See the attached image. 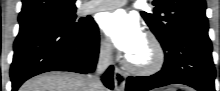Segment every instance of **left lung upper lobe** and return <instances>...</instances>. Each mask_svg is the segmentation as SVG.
Returning a JSON list of instances; mask_svg holds the SVG:
<instances>
[{"instance_id": "1", "label": "left lung upper lobe", "mask_w": 220, "mask_h": 91, "mask_svg": "<svg viewBox=\"0 0 220 91\" xmlns=\"http://www.w3.org/2000/svg\"><path fill=\"white\" fill-rule=\"evenodd\" d=\"M152 5L153 13L141 15L161 44L182 33L208 35L205 0H154Z\"/></svg>"}]
</instances>
